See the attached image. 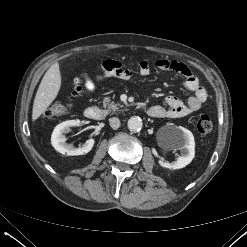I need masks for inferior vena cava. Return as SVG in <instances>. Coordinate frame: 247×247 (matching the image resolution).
Instances as JSON below:
<instances>
[{
    "instance_id": "inferior-vena-cava-1",
    "label": "inferior vena cava",
    "mask_w": 247,
    "mask_h": 247,
    "mask_svg": "<svg viewBox=\"0 0 247 247\" xmlns=\"http://www.w3.org/2000/svg\"><path fill=\"white\" fill-rule=\"evenodd\" d=\"M110 126L112 129L116 130L120 127V120L117 117H112L109 119Z\"/></svg>"
}]
</instances>
